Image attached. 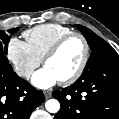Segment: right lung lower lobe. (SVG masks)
<instances>
[{"label":"right lung lower lobe","instance_id":"1","mask_svg":"<svg viewBox=\"0 0 119 119\" xmlns=\"http://www.w3.org/2000/svg\"><path fill=\"white\" fill-rule=\"evenodd\" d=\"M45 97L15 72H0V119H29Z\"/></svg>","mask_w":119,"mask_h":119}]
</instances>
